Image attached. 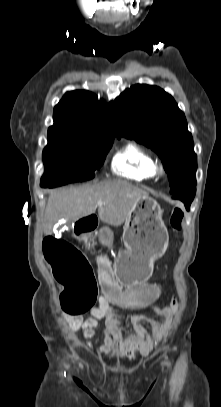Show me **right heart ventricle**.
<instances>
[{
    "label": "right heart ventricle",
    "mask_w": 221,
    "mask_h": 407,
    "mask_svg": "<svg viewBox=\"0 0 221 407\" xmlns=\"http://www.w3.org/2000/svg\"><path fill=\"white\" fill-rule=\"evenodd\" d=\"M113 171L121 177L145 182L157 176L155 158L142 147L129 143L120 149L112 160Z\"/></svg>",
    "instance_id": "right-heart-ventricle-1"
}]
</instances>
